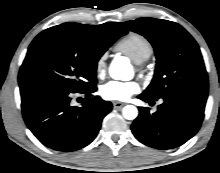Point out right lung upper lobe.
Listing matches in <instances>:
<instances>
[{
	"label": "right lung upper lobe",
	"mask_w": 220,
	"mask_h": 173,
	"mask_svg": "<svg viewBox=\"0 0 220 173\" xmlns=\"http://www.w3.org/2000/svg\"><path fill=\"white\" fill-rule=\"evenodd\" d=\"M63 33H74L80 34L85 38H88L93 43V47L99 55L103 53L121 36L127 34L125 30L118 23H105L97 26H90L78 23H63L51 28H48L41 32L34 40L46 35V34H63ZM107 43L106 47L103 48L102 44ZM31 43L29 49L32 47ZM28 49V50H29ZM24 83L19 80V85Z\"/></svg>",
	"instance_id": "cb5924a9"
}]
</instances>
